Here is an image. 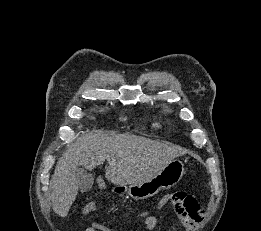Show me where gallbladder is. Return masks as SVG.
<instances>
[{
	"label": "gallbladder",
	"mask_w": 261,
	"mask_h": 231,
	"mask_svg": "<svg viewBox=\"0 0 261 231\" xmlns=\"http://www.w3.org/2000/svg\"><path fill=\"white\" fill-rule=\"evenodd\" d=\"M76 179L79 182V189L82 193L89 191L94 182V176L85 169L79 168L76 172Z\"/></svg>",
	"instance_id": "obj_1"
}]
</instances>
